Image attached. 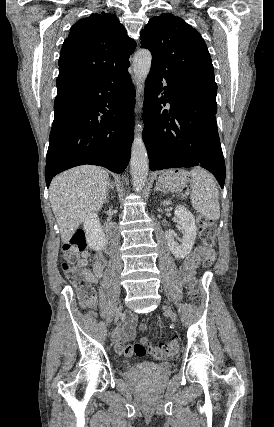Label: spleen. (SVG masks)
<instances>
[{"label": "spleen", "instance_id": "spleen-1", "mask_svg": "<svg viewBox=\"0 0 274 427\" xmlns=\"http://www.w3.org/2000/svg\"><path fill=\"white\" fill-rule=\"evenodd\" d=\"M189 174H191L190 192L194 210L205 215L207 219H219V194L212 174L198 166Z\"/></svg>", "mask_w": 274, "mask_h": 427}]
</instances>
